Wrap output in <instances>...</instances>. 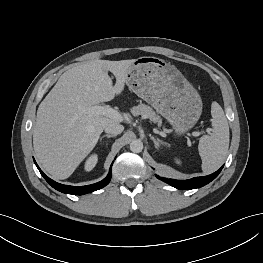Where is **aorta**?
<instances>
[{"instance_id": "1", "label": "aorta", "mask_w": 263, "mask_h": 263, "mask_svg": "<svg viewBox=\"0 0 263 263\" xmlns=\"http://www.w3.org/2000/svg\"><path fill=\"white\" fill-rule=\"evenodd\" d=\"M130 150L134 153H140L143 150V143L140 140H134L130 143Z\"/></svg>"}]
</instances>
